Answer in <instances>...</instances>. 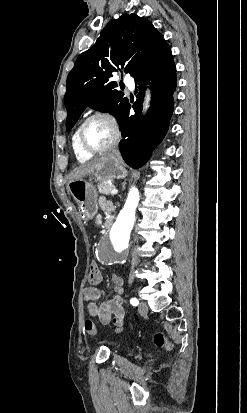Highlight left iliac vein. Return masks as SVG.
<instances>
[{
	"label": "left iliac vein",
	"mask_w": 247,
	"mask_h": 413,
	"mask_svg": "<svg viewBox=\"0 0 247 413\" xmlns=\"http://www.w3.org/2000/svg\"><path fill=\"white\" fill-rule=\"evenodd\" d=\"M139 312L141 314H145L148 311L147 304L144 301H141L138 306Z\"/></svg>",
	"instance_id": "4c4485c4"
}]
</instances>
